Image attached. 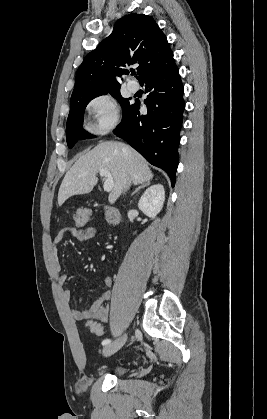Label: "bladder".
Listing matches in <instances>:
<instances>
[{"label":"bladder","mask_w":267,"mask_h":419,"mask_svg":"<svg viewBox=\"0 0 267 419\" xmlns=\"http://www.w3.org/2000/svg\"><path fill=\"white\" fill-rule=\"evenodd\" d=\"M127 368L123 364H117L110 368V372L113 375L121 376L126 372Z\"/></svg>","instance_id":"1"}]
</instances>
